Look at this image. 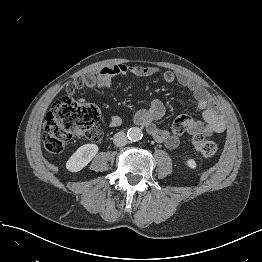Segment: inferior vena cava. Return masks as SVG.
Returning a JSON list of instances; mask_svg holds the SVG:
<instances>
[{"label": "inferior vena cava", "mask_w": 262, "mask_h": 262, "mask_svg": "<svg viewBox=\"0 0 262 262\" xmlns=\"http://www.w3.org/2000/svg\"><path fill=\"white\" fill-rule=\"evenodd\" d=\"M113 142L117 147L125 146L127 144V135L124 132H118L114 135Z\"/></svg>", "instance_id": "obj_1"}]
</instances>
